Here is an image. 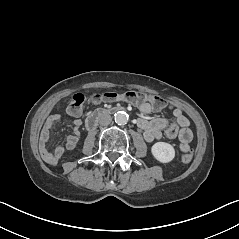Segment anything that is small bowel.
Returning a JSON list of instances; mask_svg holds the SVG:
<instances>
[{
	"label": "small bowel",
	"mask_w": 239,
	"mask_h": 239,
	"mask_svg": "<svg viewBox=\"0 0 239 239\" xmlns=\"http://www.w3.org/2000/svg\"><path fill=\"white\" fill-rule=\"evenodd\" d=\"M140 111L144 115H148L153 111H159L154 108L150 103L145 102L140 105ZM174 121H169L164 117H156L153 119L140 118L138 120V126L143 130L144 138L146 141L151 142L153 140L161 139L166 136L169 139H178L180 143V149L182 152L189 150V144L193 138L192 131L189 128V119L184 115L181 109L175 108L172 112ZM62 121L61 115H52L45 122L39 140V150L43 160L50 164L55 165L64 154L65 150H73L80 137V129L82 127L81 119H74V131L73 134L68 135L65 138L64 144H57L52 150L48 148L50 141L51 131Z\"/></svg>",
	"instance_id": "obj_1"
}]
</instances>
